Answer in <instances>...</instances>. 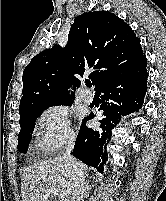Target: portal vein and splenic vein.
<instances>
[{"label": "portal vein and splenic vein", "mask_w": 166, "mask_h": 201, "mask_svg": "<svg viewBox=\"0 0 166 201\" xmlns=\"http://www.w3.org/2000/svg\"><path fill=\"white\" fill-rule=\"evenodd\" d=\"M50 194L57 195V192L55 190H49L45 197L47 198Z\"/></svg>", "instance_id": "1"}]
</instances>
